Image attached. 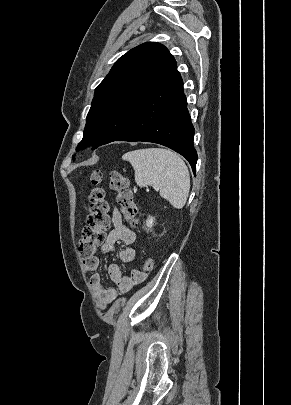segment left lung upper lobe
Listing matches in <instances>:
<instances>
[{
    "instance_id": "left-lung-upper-lobe-1",
    "label": "left lung upper lobe",
    "mask_w": 291,
    "mask_h": 405,
    "mask_svg": "<svg viewBox=\"0 0 291 405\" xmlns=\"http://www.w3.org/2000/svg\"><path fill=\"white\" fill-rule=\"evenodd\" d=\"M174 62L167 48L156 42L141 44L120 57L95 90L76 150L90 145L95 149L117 140L129 127L143 97Z\"/></svg>"
}]
</instances>
